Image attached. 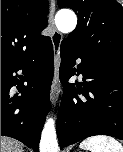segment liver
Wrapping results in <instances>:
<instances>
[{"instance_id": "obj_1", "label": "liver", "mask_w": 123, "mask_h": 152, "mask_svg": "<svg viewBox=\"0 0 123 152\" xmlns=\"http://www.w3.org/2000/svg\"><path fill=\"white\" fill-rule=\"evenodd\" d=\"M1 152H23V147L19 141L1 136Z\"/></svg>"}]
</instances>
